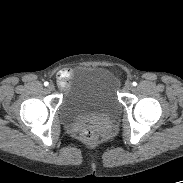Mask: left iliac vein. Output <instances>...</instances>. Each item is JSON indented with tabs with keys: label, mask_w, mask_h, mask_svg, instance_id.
Returning <instances> with one entry per match:
<instances>
[{
	"label": "left iliac vein",
	"mask_w": 183,
	"mask_h": 183,
	"mask_svg": "<svg viewBox=\"0 0 183 183\" xmlns=\"http://www.w3.org/2000/svg\"><path fill=\"white\" fill-rule=\"evenodd\" d=\"M132 87H133V85H132V83H131V82H126V83H125L124 88H125L126 90H131V89H132Z\"/></svg>",
	"instance_id": "4c4485c4"
}]
</instances>
